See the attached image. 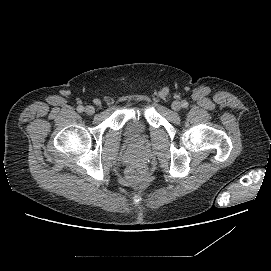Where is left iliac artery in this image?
<instances>
[{
    "label": "left iliac artery",
    "mask_w": 271,
    "mask_h": 271,
    "mask_svg": "<svg viewBox=\"0 0 271 271\" xmlns=\"http://www.w3.org/2000/svg\"><path fill=\"white\" fill-rule=\"evenodd\" d=\"M188 106V103L186 101L182 102V107L186 108Z\"/></svg>",
    "instance_id": "left-iliac-artery-1"
}]
</instances>
